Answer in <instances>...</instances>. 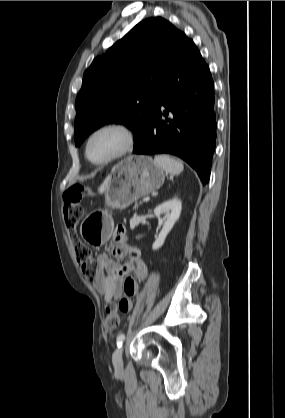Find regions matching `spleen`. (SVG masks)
<instances>
[{
    "label": "spleen",
    "mask_w": 285,
    "mask_h": 418,
    "mask_svg": "<svg viewBox=\"0 0 285 418\" xmlns=\"http://www.w3.org/2000/svg\"><path fill=\"white\" fill-rule=\"evenodd\" d=\"M154 162L161 167L166 174L170 175H179L184 169L180 160L174 159L168 155H157L154 158Z\"/></svg>",
    "instance_id": "3e777b00"
}]
</instances>
